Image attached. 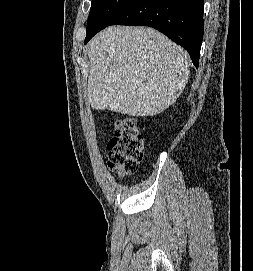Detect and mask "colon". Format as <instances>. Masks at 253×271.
<instances>
[{"mask_svg":"<svg viewBox=\"0 0 253 271\" xmlns=\"http://www.w3.org/2000/svg\"><path fill=\"white\" fill-rule=\"evenodd\" d=\"M107 147L108 165L120 176L133 174L138 170L144 142L133 118L116 120Z\"/></svg>","mask_w":253,"mask_h":271,"instance_id":"colon-1","label":"colon"}]
</instances>
